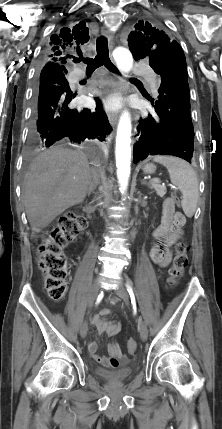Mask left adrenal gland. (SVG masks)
<instances>
[{
	"mask_svg": "<svg viewBox=\"0 0 222 429\" xmlns=\"http://www.w3.org/2000/svg\"><path fill=\"white\" fill-rule=\"evenodd\" d=\"M141 183H142V184H146V185H148V184H147V181H146V180H144V179H142V180H141ZM148 186H149V185H148Z\"/></svg>",
	"mask_w": 222,
	"mask_h": 429,
	"instance_id": "left-adrenal-gland-1",
	"label": "left adrenal gland"
}]
</instances>
